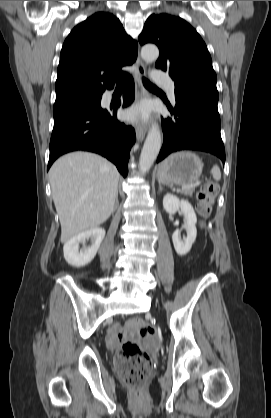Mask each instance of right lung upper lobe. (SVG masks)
Listing matches in <instances>:
<instances>
[{
	"mask_svg": "<svg viewBox=\"0 0 271 418\" xmlns=\"http://www.w3.org/2000/svg\"><path fill=\"white\" fill-rule=\"evenodd\" d=\"M137 58V42L119 19L98 12L78 24L66 38L57 70L55 103L102 96L111 89L121 68Z\"/></svg>",
	"mask_w": 271,
	"mask_h": 418,
	"instance_id": "cb5924a9",
	"label": "right lung upper lobe"
}]
</instances>
